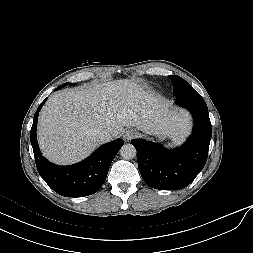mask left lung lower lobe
Here are the masks:
<instances>
[{
	"mask_svg": "<svg viewBox=\"0 0 253 253\" xmlns=\"http://www.w3.org/2000/svg\"><path fill=\"white\" fill-rule=\"evenodd\" d=\"M176 103L193 115V133L184 145L167 150L144 139H133L138 167L145 183L159 190H178L188 186L203 169L212 136L208 108L201 95L192 93L177 97Z\"/></svg>",
	"mask_w": 253,
	"mask_h": 253,
	"instance_id": "obj_1",
	"label": "left lung lower lobe"
}]
</instances>
